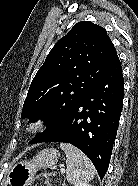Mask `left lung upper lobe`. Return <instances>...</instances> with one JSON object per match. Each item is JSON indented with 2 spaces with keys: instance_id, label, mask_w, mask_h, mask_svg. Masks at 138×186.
I'll return each instance as SVG.
<instances>
[{
  "instance_id": "obj_1",
  "label": "left lung upper lobe",
  "mask_w": 138,
  "mask_h": 186,
  "mask_svg": "<svg viewBox=\"0 0 138 186\" xmlns=\"http://www.w3.org/2000/svg\"><path fill=\"white\" fill-rule=\"evenodd\" d=\"M118 61L103 27L89 21L74 25L49 52L24 101L21 118H46V130L32 142L55 132Z\"/></svg>"
}]
</instances>
